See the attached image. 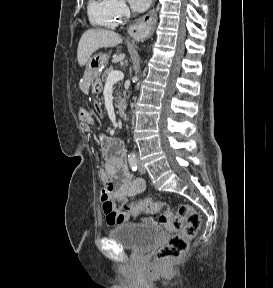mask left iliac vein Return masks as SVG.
<instances>
[{"instance_id": "1", "label": "left iliac vein", "mask_w": 273, "mask_h": 288, "mask_svg": "<svg viewBox=\"0 0 273 288\" xmlns=\"http://www.w3.org/2000/svg\"><path fill=\"white\" fill-rule=\"evenodd\" d=\"M137 162H138V169L141 173H145L146 172V169L145 167L143 166L141 160L139 157H137Z\"/></svg>"}]
</instances>
